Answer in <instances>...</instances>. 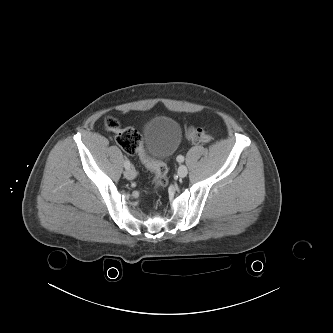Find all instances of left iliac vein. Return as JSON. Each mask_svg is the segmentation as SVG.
Masks as SVG:
<instances>
[{"mask_svg": "<svg viewBox=\"0 0 333 333\" xmlns=\"http://www.w3.org/2000/svg\"><path fill=\"white\" fill-rule=\"evenodd\" d=\"M177 173L180 178H184L188 174V169L185 165H180Z\"/></svg>", "mask_w": 333, "mask_h": 333, "instance_id": "1", "label": "left iliac vein"}]
</instances>
